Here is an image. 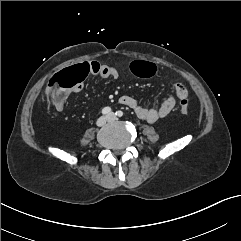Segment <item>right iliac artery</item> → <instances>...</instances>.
I'll return each instance as SVG.
<instances>
[{"mask_svg": "<svg viewBox=\"0 0 241 241\" xmlns=\"http://www.w3.org/2000/svg\"><path fill=\"white\" fill-rule=\"evenodd\" d=\"M111 113V108L110 107H105L102 109V114L106 115Z\"/></svg>", "mask_w": 241, "mask_h": 241, "instance_id": "right-iliac-artery-1", "label": "right iliac artery"}]
</instances>
